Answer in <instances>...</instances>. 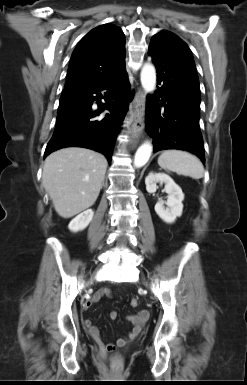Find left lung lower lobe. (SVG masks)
Instances as JSON below:
<instances>
[{
  "label": "left lung lower lobe",
  "instance_id": "0a47b994",
  "mask_svg": "<svg viewBox=\"0 0 247 385\" xmlns=\"http://www.w3.org/2000/svg\"><path fill=\"white\" fill-rule=\"evenodd\" d=\"M148 54L157 70V90L147 99L146 131L153 137L154 152L180 149L196 154L205 163L199 126L200 89L197 73L173 52L167 37L156 34Z\"/></svg>",
  "mask_w": 247,
  "mask_h": 385
}]
</instances>
